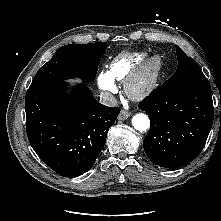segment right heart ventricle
Returning <instances> with one entry per match:
<instances>
[{"label":"right heart ventricle","mask_w":221,"mask_h":221,"mask_svg":"<svg viewBox=\"0 0 221 221\" xmlns=\"http://www.w3.org/2000/svg\"><path fill=\"white\" fill-rule=\"evenodd\" d=\"M144 57V53H122L110 63L109 72L114 79L125 80Z\"/></svg>","instance_id":"right-heart-ventricle-1"}]
</instances>
